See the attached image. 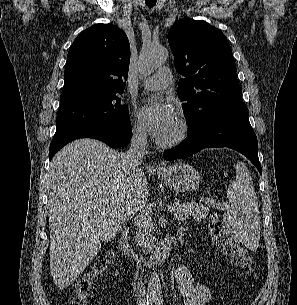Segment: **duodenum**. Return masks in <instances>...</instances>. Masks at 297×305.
<instances>
[{
  "instance_id": "1",
  "label": "duodenum",
  "mask_w": 297,
  "mask_h": 305,
  "mask_svg": "<svg viewBox=\"0 0 297 305\" xmlns=\"http://www.w3.org/2000/svg\"><path fill=\"white\" fill-rule=\"evenodd\" d=\"M186 233H187V230L182 229L178 232L177 236L174 239L163 240L159 244L158 249L154 252V254L148 260L142 259L133 250L129 237H128L127 228H124L122 230L119 240H118V245H119L121 252L127 258L133 260L140 266H144L145 269L158 268L164 263L167 256L171 252H173L174 250L179 248Z\"/></svg>"
}]
</instances>
